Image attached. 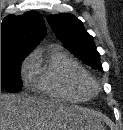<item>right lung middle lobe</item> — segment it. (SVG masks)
Segmentation results:
<instances>
[{"label": "right lung middle lobe", "instance_id": "obj_1", "mask_svg": "<svg viewBox=\"0 0 123 130\" xmlns=\"http://www.w3.org/2000/svg\"><path fill=\"white\" fill-rule=\"evenodd\" d=\"M27 55L26 53L1 57V91L13 93L20 91L21 62Z\"/></svg>", "mask_w": 123, "mask_h": 130}]
</instances>
